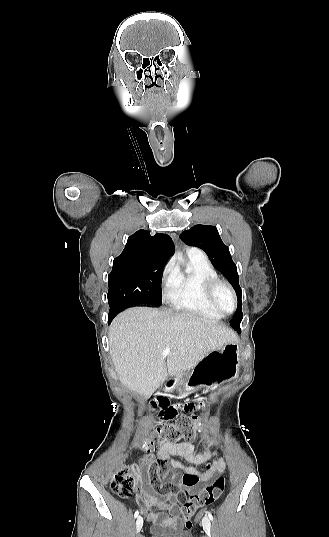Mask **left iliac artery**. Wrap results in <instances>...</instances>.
Here are the masks:
<instances>
[{
  "instance_id": "44dca946",
  "label": "left iliac artery",
  "mask_w": 329,
  "mask_h": 537,
  "mask_svg": "<svg viewBox=\"0 0 329 537\" xmlns=\"http://www.w3.org/2000/svg\"><path fill=\"white\" fill-rule=\"evenodd\" d=\"M207 514H208L209 519H210L211 521H213V515H212L210 512H207Z\"/></svg>"
}]
</instances>
